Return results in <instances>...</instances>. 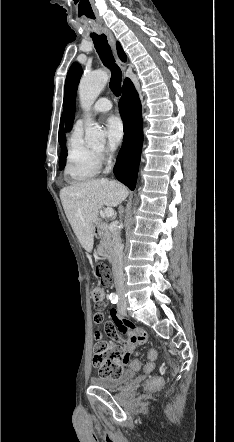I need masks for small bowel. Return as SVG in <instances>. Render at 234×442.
Wrapping results in <instances>:
<instances>
[{
    "label": "small bowel",
    "mask_w": 234,
    "mask_h": 442,
    "mask_svg": "<svg viewBox=\"0 0 234 442\" xmlns=\"http://www.w3.org/2000/svg\"><path fill=\"white\" fill-rule=\"evenodd\" d=\"M111 319H107L104 323V328L102 331L103 336L105 337H118L119 330L125 336V338H112V341H118L119 346H124V350L130 349L133 350L140 345H143L147 341V335L142 330H137L135 326L126 319H120L116 310L112 309L110 311ZM94 322L97 325H100V322L103 321V315L101 312H98L93 317Z\"/></svg>",
    "instance_id": "1"
}]
</instances>
